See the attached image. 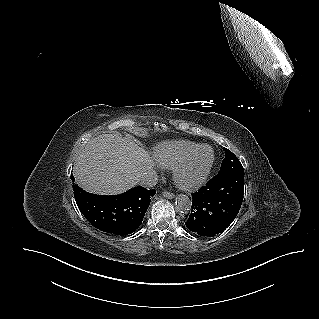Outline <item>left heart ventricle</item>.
I'll list each match as a JSON object with an SVG mask.
<instances>
[{
    "mask_svg": "<svg viewBox=\"0 0 319 319\" xmlns=\"http://www.w3.org/2000/svg\"><path fill=\"white\" fill-rule=\"evenodd\" d=\"M211 157L212 153L209 148L201 149L188 166L185 178L187 180H193L200 176L207 164L210 162Z\"/></svg>",
    "mask_w": 319,
    "mask_h": 319,
    "instance_id": "obj_1",
    "label": "left heart ventricle"
}]
</instances>
